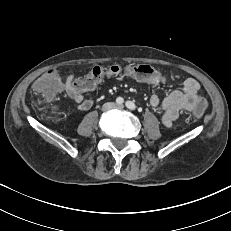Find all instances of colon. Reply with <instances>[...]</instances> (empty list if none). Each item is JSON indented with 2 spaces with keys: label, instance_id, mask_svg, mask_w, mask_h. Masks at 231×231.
Listing matches in <instances>:
<instances>
[{
  "label": "colon",
  "instance_id": "5ec220e1",
  "mask_svg": "<svg viewBox=\"0 0 231 231\" xmlns=\"http://www.w3.org/2000/svg\"><path fill=\"white\" fill-rule=\"evenodd\" d=\"M60 68H52L48 73H42L33 83L34 90L48 98L54 97L60 89V82L58 74ZM131 76L132 80L138 84L145 78L151 76L163 75L159 70H155L148 65H111L107 67L96 66L86 76L77 79L74 82V86L81 91H87L94 89L105 78L113 77L117 75ZM167 75V74H166ZM211 108V103L207 99H202L197 102V105L193 109V116L197 120H202L208 114Z\"/></svg>",
  "mask_w": 231,
  "mask_h": 231
}]
</instances>
